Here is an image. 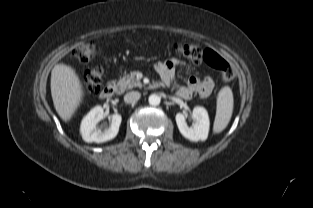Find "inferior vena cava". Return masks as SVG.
I'll return each mask as SVG.
<instances>
[{
    "label": "inferior vena cava",
    "mask_w": 313,
    "mask_h": 208,
    "mask_svg": "<svg viewBox=\"0 0 313 208\" xmlns=\"http://www.w3.org/2000/svg\"><path fill=\"white\" fill-rule=\"evenodd\" d=\"M141 97V94L137 91H131L124 96V101L126 103L134 104L136 103Z\"/></svg>",
    "instance_id": "obj_1"
}]
</instances>
